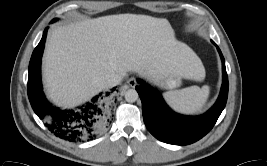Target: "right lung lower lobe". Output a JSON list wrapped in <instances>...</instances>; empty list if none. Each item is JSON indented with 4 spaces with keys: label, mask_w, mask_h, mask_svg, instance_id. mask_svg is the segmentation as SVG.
<instances>
[{
    "label": "right lung lower lobe",
    "mask_w": 267,
    "mask_h": 166,
    "mask_svg": "<svg viewBox=\"0 0 267 166\" xmlns=\"http://www.w3.org/2000/svg\"><path fill=\"white\" fill-rule=\"evenodd\" d=\"M56 19L52 20L54 22ZM34 49L29 63L28 97L37 116L55 136L68 142L93 140L111 122L112 99L110 92L100 93L91 101L75 108L62 110L52 106L45 98L41 83V57L47 36ZM115 88H113V91ZM112 91V92H113Z\"/></svg>",
    "instance_id": "right-lung-lower-lobe-1"
}]
</instances>
